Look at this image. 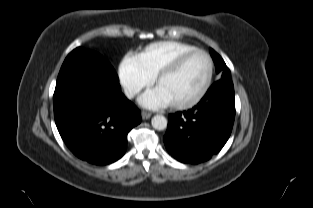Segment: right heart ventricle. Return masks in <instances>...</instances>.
Listing matches in <instances>:
<instances>
[{
  "mask_svg": "<svg viewBox=\"0 0 313 208\" xmlns=\"http://www.w3.org/2000/svg\"><path fill=\"white\" fill-rule=\"evenodd\" d=\"M193 49L194 45L185 42L159 41L146 46L134 59L142 70L155 76L176 57Z\"/></svg>",
  "mask_w": 313,
  "mask_h": 208,
  "instance_id": "e07e8e85",
  "label": "right heart ventricle"
}]
</instances>
